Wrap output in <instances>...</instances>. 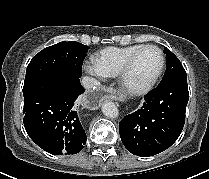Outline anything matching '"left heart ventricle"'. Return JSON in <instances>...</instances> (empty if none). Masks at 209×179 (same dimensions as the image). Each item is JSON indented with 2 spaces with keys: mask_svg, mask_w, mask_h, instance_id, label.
Listing matches in <instances>:
<instances>
[{
  "mask_svg": "<svg viewBox=\"0 0 209 179\" xmlns=\"http://www.w3.org/2000/svg\"><path fill=\"white\" fill-rule=\"evenodd\" d=\"M160 65V53L153 48L145 50L133 65L128 75V84L132 87L145 85L157 74Z\"/></svg>",
  "mask_w": 209,
  "mask_h": 179,
  "instance_id": "1",
  "label": "left heart ventricle"
}]
</instances>
